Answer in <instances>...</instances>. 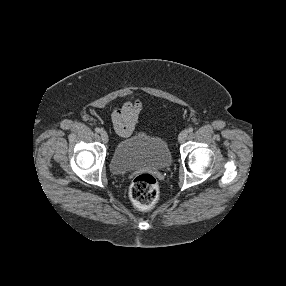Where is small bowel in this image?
I'll return each instance as SVG.
<instances>
[{
  "label": "small bowel",
  "mask_w": 286,
  "mask_h": 286,
  "mask_svg": "<svg viewBox=\"0 0 286 286\" xmlns=\"http://www.w3.org/2000/svg\"><path fill=\"white\" fill-rule=\"evenodd\" d=\"M141 111L139 101H127L111 113V121L116 133L121 137L129 136L138 124Z\"/></svg>",
  "instance_id": "obj_1"
}]
</instances>
